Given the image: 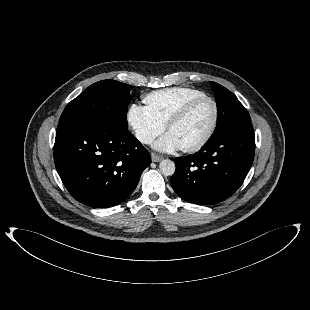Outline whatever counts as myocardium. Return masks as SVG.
<instances>
[{
    "mask_svg": "<svg viewBox=\"0 0 310 310\" xmlns=\"http://www.w3.org/2000/svg\"><path fill=\"white\" fill-rule=\"evenodd\" d=\"M202 101H209L212 106H213V118H212V122L210 124V127L208 129V131L206 132V134L204 135V137L198 141L197 143L190 145V146H183L182 150L185 152H196L201 150L203 147H205L208 142L211 140V138L213 137L216 128H217V124H218V120H219V107L218 104L216 102L215 99H213L210 96L207 95H203V96H199L196 98H193L191 100H189L188 102H186L167 122L166 124V129L170 130L171 127H173L174 125H176L177 123H179L180 121H182L188 114L189 112L200 102Z\"/></svg>",
    "mask_w": 310,
    "mask_h": 310,
    "instance_id": "1",
    "label": "myocardium"
}]
</instances>
